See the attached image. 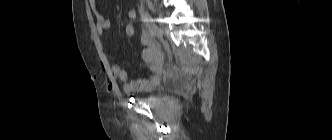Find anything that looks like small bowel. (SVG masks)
<instances>
[{
    "mask_svg": "<svg viewBox=\"0 0 332 140\" xmlns=\"http://www.w3.org/2000/svg\"><path fill=\"white\" fill-rule=\"evenodd\" d=\"M90 8L96 19V30L100 36H103L112 27V22L110 18L104 17L97 9V0H88ZM127 15L129 18L133 19L136 17V10L134 8L127 9ZM141 42L145 46L142 52V57L145 61H149L152 58V49L149 47V38L147 35L141 37ZM111 71L113 76L123 82V89L126 93L131 94L135 92L142 91L150 79H139L129 81L126 71L118 64H113L111 66Z\"/></svg>",
    "mask_w": 332,
    "mask_h": 140,
    "instance_id": "1",
    "label": "small bowel"
}]
</instances>
